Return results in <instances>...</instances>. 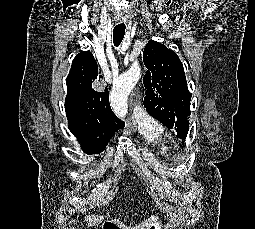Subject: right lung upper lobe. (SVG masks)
I'll return each mask as SVG.
<instances>
[{
    "label": "right lung upper lobe",
    "mask_w": 255,
    "mask_h": 229,
    "mask_svg": "<svg viewBox=\"0 0 255 229\" xmlns=\"http://www.w3.org/2000/svg\"><path fill=\"white\" fill-rule=\"evenodd\" d=\"M97 77L98 66L92 53L76 55L66 79L65 111L69 129L77 138L110 139L125 125L110 107L108 89L101 92L93 89Z\"/></svg>",
    "instance_id": "1"
}]
</instances>
